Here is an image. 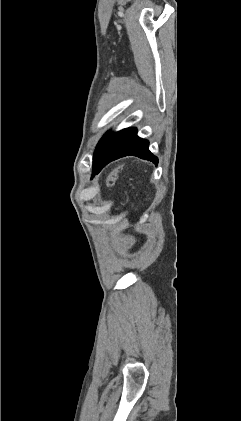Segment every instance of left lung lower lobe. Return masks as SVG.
Here are the masks:
<instances>
[{"label": "left lung lower lobe", "mask_w": 241, "mask_h": 421, "mask_svg": "<svg viewBox=\"0 0 241 421\" xmlns=\"http://www.w3.org/2000/svg\"><path fill=\"white\" fill-rule=\"evenodd\" d=\"M148 146L147 140L137 136L136 128L111 133L101 155L93 163V176L109 162L128 155L150 160L157 165L158 159L149 151Z\"/></svg>", "instance_id": "1"}]
</instances>
